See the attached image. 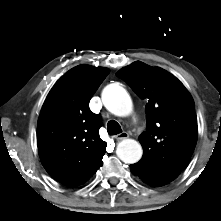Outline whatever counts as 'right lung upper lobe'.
I'll return each instance as SVG.
<instances>
[{
    "instance_id": "cb5924a9",
    "label": "right lung upper lobe",
    "mask_w": 221,
    "mask_h": 221,
    "mask_svg": "<svg viewBox=\"0 0 221 221\" xmlns=\"http://www.w3.org/2000/svg\"><path fill=\"white\" fill-rule=\"evenodd\" d=\"M108 73L107 68L74 67L43 104L37 125L39 155L46 171L64 185L86 182L102 164L107 143L99 136L101 120L89 101Z\"/></svg>"
}]
</instances>
